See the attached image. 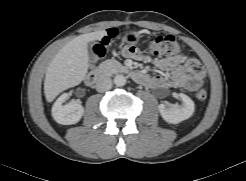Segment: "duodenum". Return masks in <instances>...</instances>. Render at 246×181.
<instances>
[{
  "mask_svg": "<svg viewBox=\"0 0 246 181\" xmlns=\"http://www.w3.org/2000/svg\"><path fill=\"white\" fill-rule=\"evenodd\" d=\"M130 74L134 81L140 84H146L149 81V77L137 71H130L125 69ZM87 85L92 87L102 86L105 82V73L102 70L90 71L85 79Z\"/></svg>",
  "mask_w": 246,
  "mask_h": 181,
  "instance_id": "1",
  "label": "duodenum"
}]
</instances>
